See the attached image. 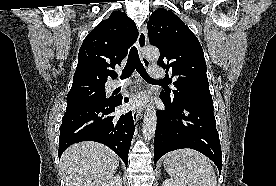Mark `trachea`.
I'll return each instance as SVG.
<instances>
[{
	"mask_svg": "<svg viewBox=\"0 0 276 186\" xmlns=\"http://www.w3.org/2000/svg\"><path fill=\"white\" fill-rule=\"evenodd\" d=\"M137 70V72L142 76L143 79L149 82H162L159 80H155L151 78L148 73L146 72L140 58L138 55V50L135 46H133L129 52V57L126 63L125 68L122 71L121 79L128 78L131 76L132 72L134 70Z\"/></svg>",
	"mask_w": 276,
	"mask_h": 186,
	"instance_id": "trachea-1",
	"label": "trachea"
}]
</instances>
